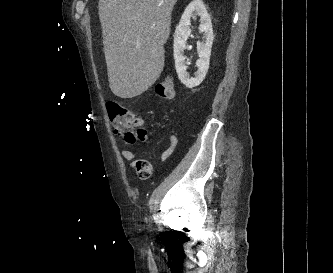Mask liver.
<instances>
[{"label":"liver","instance_id":"liver-1","mask_svg":"<svg viewBox=\"0 0 333 273\" xmlns=\"http://www.w3.org/2000/svg\"><path fill=\"white\" fill-rule=\"evenodd\" d=\"M177 0H99L98 14L108 81L114 95L133 98L151 87L164 68Z\"/></svg>","mask_w":333,"mask_h":273}]
</instances>
